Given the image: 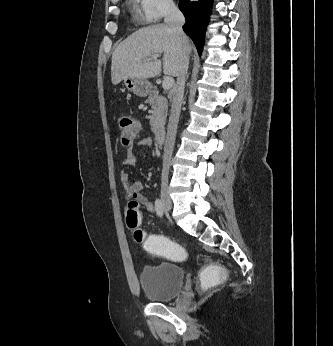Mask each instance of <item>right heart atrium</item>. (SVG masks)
I'll list each match as a JSON object with an SVG mask.
<instances>
[{"mask_svg":"<svg viewBox=\"0 0 333 346\" xmlns=\"http://www.w3.org/2000/svg\"><path fill=\"white\" fill-rule=\"evenodd\" d=\"M141 17L146 23L159 21L171 14L176 6L173 0H136Z\"/></svg>","mask_w":333,"mask_h":346,"instance_id":"right-heart-atrium-1","label":"right heart atrium"}]
</instances>
